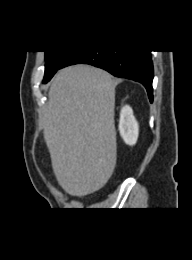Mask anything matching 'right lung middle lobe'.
I'll return each mask as SVG.
<instances>
[{
	"mask_svg": "<svg viewBox=\"0 0 192 260\" xmlns=\"http://www.w3.org/2000/svg\"><path fill=\"white\" fill-rule=\"evenodd\" d=\"M71 51H45V75L43 83H47L56 71L62 68L64 62L72 54Z\"/></svg>",
	"mask_w": 192,
	"mask_h": 260,
	"instance_id": "1",
	"label": "right lung middle lobe"
}]
</instances>
